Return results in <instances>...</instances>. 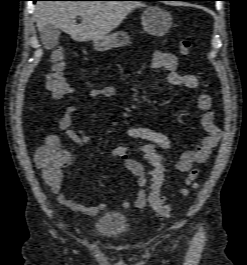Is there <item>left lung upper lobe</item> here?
<instances>
[{
  "instance_id": "left-lung-upper-lobe-1",
  "label": "left lung upper lobe",
  "mask_w": 247,
  "mask_h": 265,
  "mask_svg": "<svg viewBox=\"0 0 247 265\" xmlns=\"http://www.w3.org/2000/svg\"><path fill=\"white\" fill-rule=\"evenodd\" d=\"M202 1H214V0H202Z\"/></svg>"
}]
</instances>
